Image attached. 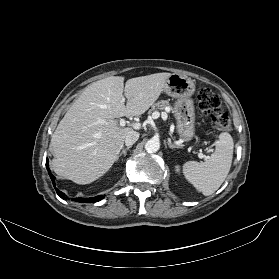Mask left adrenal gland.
Segmentation results:
<instances>
[{"instance_id":"a2214340","label":"left adrenal gland","mask_w":279,"mask_h":279,"mask_svg":"<svg viewBox=\"0 0 279 279\" xmlns=\"http://www.w3.org/2000/svg\"><path fill=\"white\" fill-rule=\"evenodd\" d=\"M167 144H168L169 148H180V146L172 144L170 140H168Z\"/></svg>"}]
</instances>
